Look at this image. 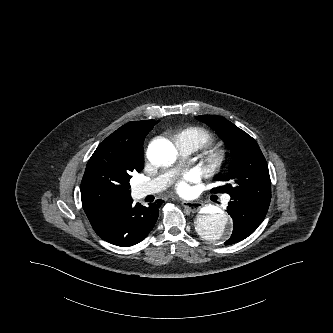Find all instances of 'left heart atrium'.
<instances>
[{
	"mask_svg": "<svg viewBox=\"0 0 333 333\" xmlns=\"http://www.w3.org/2000/svg\"><path fill=\"white\" fill-rule=\"evenodd\" d=\"M198 179V173L196 171H189L180 178L176 184V190L179 194L187 195L191 192V182H195Z\"/></svg>",
	"mask_w": 333,
	"mask_h": 333,
	"instance_id": "obj_1",
	"label": "left heart atrium"
}]
</instances>
